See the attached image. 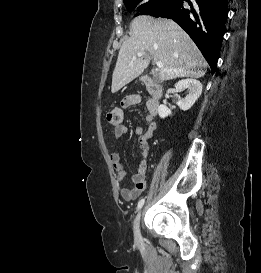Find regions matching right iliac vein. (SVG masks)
Wrapping results in <instances>:
<instances>
[{
    "instance_id": "obj_1",
    "label": "right iliac vein",
    "mask_w": 261,
    "mask_h": 273,
    "mask_svg": "<svg viewBox=\"0 0 261 273\" xmlns=\"http://www.w3.org/2000/svg\"><path fill=\"white\" fill-rule=\"evenodd\" d=\"M140 219H141V211L138 212L135 220H134V223H133V230H134V236L136 239H139L140 236H141V233H140Z\"/></svg>"
}]
</instances>
